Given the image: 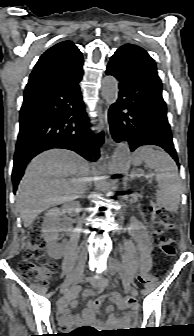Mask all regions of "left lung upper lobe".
<instances>
[{
    "mask_svg": "<svg viewBox=\"0 0 194 336\" xmlns=\"http://www.w3.org/2000/svg\"><path fill=\"white\" fill-rule=\"evenodd\" d=\"M119 49H127L132 51L138 57V59L140 60L141 64L145 67V69L149 73H151L152 77L157 81V83H159L160 86H162L161 80L157 73L156 64L144 49L132 44H125Z\"/></svg>",
    "mask_w": 194,
    "mask_h": 336,
    "instance_id": "1",
    "label": "left lung upper lobe"
}]
</instances>
